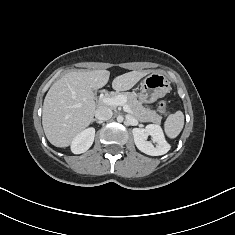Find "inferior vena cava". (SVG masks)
Returning a JSON list of instances; mask_svg holds the SVG:
<instances>
[{
  "label": "inferior vena cava",
  "instance_id": "1",
  "mask_svg": "<svg viewBox=\"0 0 235 235\" xmlns=\"http://www.w3.org/2000/svg\"><path fill=\"white\" fill-rule=\"evenodd\" d=\"M112 110L106 106H100L96 109L95 117L98 120L106 121L112 117Z\"/></svg>",
  "mask_w": 235,
  "mask_h": 235
}]
</instances>
